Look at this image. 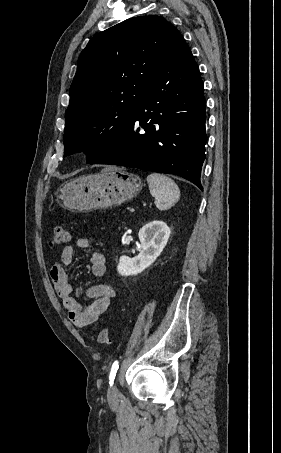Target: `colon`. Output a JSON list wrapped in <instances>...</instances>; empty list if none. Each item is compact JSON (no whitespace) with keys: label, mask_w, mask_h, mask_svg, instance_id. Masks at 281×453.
<instances>
[{"label":"colon","mask_w":281,"mask_h":453,"mask_svg":"<svg viewBox=\"0 0 281 453\" xmlns=\"http://www.w3.org/2000/svg\"><path fill=\"white\" fill-rule=\"evenodd\" d=\"M66 230L61 226H55L52 230V244L54 247H62L65 244ZM100 346L106 345L111 340V331L108 328L101 329L95 337Z\"/></svg>","instance_id":"1"}]
</instances>
